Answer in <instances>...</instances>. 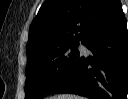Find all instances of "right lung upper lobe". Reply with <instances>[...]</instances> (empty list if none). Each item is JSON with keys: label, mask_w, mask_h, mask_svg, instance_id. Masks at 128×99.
<instances>
[{"label": "right lung upper lobe", "mask_w": 128, "mask_h": 99, "mask_svg": "<svg viewBox=\"0 0 128 99\" xmlns=\"http://www.w3.org/2000/svg\"><path fill=\"white\" fill-rule=\"evenodd\" d=\"M119 0H48L30 25L27 58L86 39L119 8Z\"/></svg>", "instance_id": "right-lung-upper-lobe-1"}]
</instances>
